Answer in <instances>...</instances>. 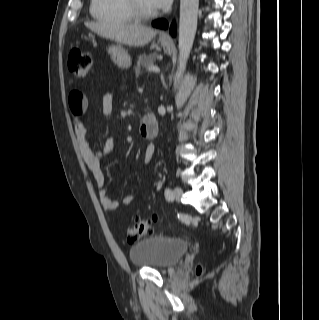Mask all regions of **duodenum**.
Wrapping results in <instances>:
<instances>
[{
  "mask_svg": "<svg viewBox=\"0 0 319 320\" xmlns=\"http://www.w3.org/2000/svg\"><path fill=\"white\" fill-rule=\"evenodd\" d=\"M140 134L146 138H154L159 133V125L153 114H147L140 123Z\"/></svg>",
  "mask_w": 319,
  "mask_h": 320,
  "instance_id": "1",
  "label": "duodenum"
}]
</instances>
